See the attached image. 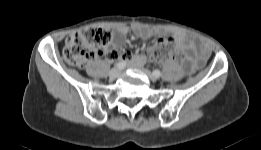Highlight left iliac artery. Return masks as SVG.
Listing matches in <instances>:
<instances>
[{
    "label": "left iliac artery",
    "instance_id": "left-iliac-artery-1",
    "mask_svg": "<svg viewBox=\"0 0 261 150\" xmlns=\"http://www.w3.org/2000/svg\"><path fill=\"white\" fill-rule=\"evenodd\" d=\"M153 75L158 78L161 76V72L159 70H154Z\"/></svg>",
    "mask_w": 261,
    "mask_h": 150
}]
</instances>
